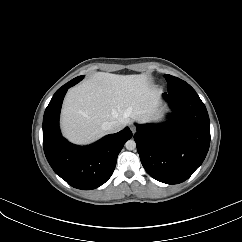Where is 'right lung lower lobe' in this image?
Returning a JSON list of instances; mask_svg holds the SVG:
<instances>
[{"label":"right lung lower lobe","instance_id":"98d812e1","mask_svg":"<svg viewBox=\"0 0 242 242\" xmlns=\"http://www.w3.org/2000/svg\"><path fill=\"white\" fill-rule=\"evenodd\" d=\"M81 80L79 76L63 85L47 106L43 118V147L57 175L75 188L91 190L111 177L117 156L124 143L132 137V132L126 127L83 147L75 146L62 137L59 115L63 98L67 90Z\"/></svg>","mask_w":242,"mask_h":242}]
</instances>
